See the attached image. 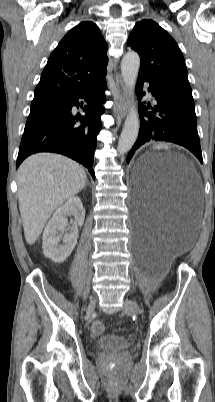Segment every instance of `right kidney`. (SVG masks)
Instances as JSON below:
<instances>
[{
    "label": "right kidney",
    "mask_w": 215,
    "mask_h": 402,
    "mask_svg": "<svg viewBox=\"0 0 215 402\" xmlns=\"http://www.w3.org/2000/svg\"><path fill=\"white\" fill-rule=\"evenodd\" d=\"M73 215V226L69 234L63 236L60 232L67 226V215ZM85 212L79 197H71L60 206L49 220L43 233V253L55 263L64 262L76 246L78 239V227L82 226ZM63 244H59L60 241Z\"/></svg>",
    "instance_id": "right-kidney-1"
}]
</instances>
